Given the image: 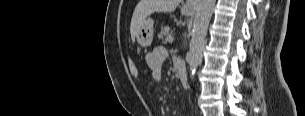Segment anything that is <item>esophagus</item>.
I'll return each mask as SVG.
<instances>
[{
	"label": "esophagus",
	"mask_w": 305,
	"mask_h": 116,
	"mask_svg": "<svg viewBox=\"0 0 305 116\" xmlns=\"http://www.w3.org/2000/svg\"><path fill=\"white\" fill-rule=\"evenodd\" d=\"M197 1L196 0H187L184 4V8L188 10H194L196 7Z\"/></svg>",
	"instance_id": "obj_1"
}]
</instances>
